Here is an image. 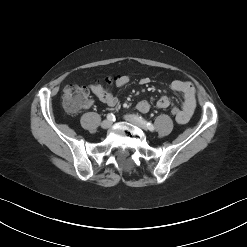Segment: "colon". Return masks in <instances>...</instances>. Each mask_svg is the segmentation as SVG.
I'll return each mask as SVG.
<instances>
[{
    "label": "colon",
    "mask_w": 247,
    "mask_h": 247,
    "mask_svg": "<svg viewBox=\"0 0 247 247\" xmlns=\"http://www.w3.org/2000/svg\"><path fill=\"white\" fill-rule=\"evenodd\" d=\"M116 80V79H115ZM107 83H112L113 79H107ZM88 102V94L84 87L78 85H70L64 89L62 96V105L68 113H76L86 106ZM170 114L176 119L180 114V109L172 107Z\"/></svg>",
    "instance_id": "5ec220e1"
}]
</instances>
